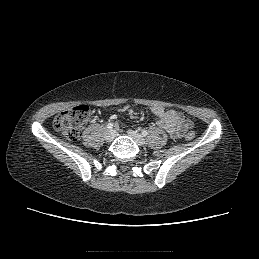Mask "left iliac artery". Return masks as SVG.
Instances as JSON below:
<instances>
[{
    "instance_id": "44dca946",
    "label": "left iliac artery",
    "mask_w": 259,
    "mask_h": 259,
    "mask_svg": "<svg viewBox=\"0 0 259 259\" xmlns=\"http://www.w3.org/2000/svg\"><path fill=\"white\" fill-rule=\"evenodd\" d=\"M142 135H143V136H147V135H148V132H147L146 130H143V131H142Z\"/></svg>"
}]
</instances>
